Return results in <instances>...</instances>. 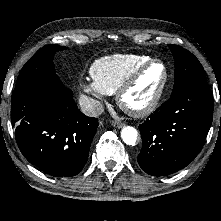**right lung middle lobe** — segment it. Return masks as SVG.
<instances>
[{
  "mask_svg": "<svg viewBox=\"0 0 221 221\" xmlns=\"http://www.w3.org/2000/svg\"><path fill=\"white\" fill-rule=\"evenodd\" d=\"M59 45H46L37 51L22 68L12 99L21 93L42 85H62L55 73L53 57L55 52L65 50Z\"/></svg>",
  "mask_w": 221,
  "mask_h": 221,
  "instance_id": "obj_1",
  "label": "right lung middle lobe"
}]
</instances>
